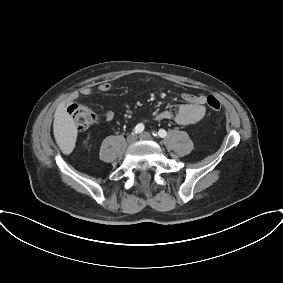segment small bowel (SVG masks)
<instances>
[{
    "label": "small bowel",
    "mask_w": 283,
    "mask_h": 283,
    "mask_svg": "<svg viewBox=\"0 0 283 283\" xmlns=\"http://www.w3.org/2000/svg\"><path fill=\"white\" fill-rule=\"evenodd\" d=\"M111 90V84L108 82H102L98 85V91L100 93H107ZM93 95V90L89 87H84L80 89L77 94L72 96L73 99H77L79 96L91 97ZM206 96L203 94H191L184 93L182 99L184 103L179 105L176 114L174 115L169 110L161 111L157 114V119L159 120H174L180 125H191L199 122L205 115V104ZM106 122H111L115 114L113 111L107 110L102 114Z\"/></svg>",
    "instance_id": "obj_1"
}]
</instances>
